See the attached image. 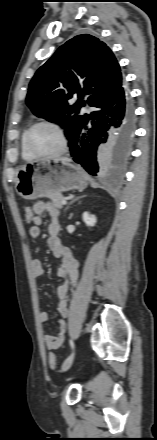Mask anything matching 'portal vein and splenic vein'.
<instances>
[{
    "label": "portal vein and splenic vein",
    "mask_w": 157,
    "mask_h": 440,
    "mask_svg": "<svg viewBox=\"0 0 157 440\" xmlns=\"http://www.w3.org/2000/svg\"><path fill=\"white\" fill-rule=\"evenodd\" d=\"M61 203H62L63 205H65V204H67V201H66L65 199H63V200L61 201Z\"/></svg>",
    "instance_id": "portal-vein-and-splenic-vein-1"
}]
</instances>
